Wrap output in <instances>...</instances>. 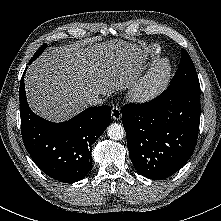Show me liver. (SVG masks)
Returning <instances> with one entry per match:
<instances>
[{
    "mask_svg": "<svg viewBox=\"0 0 221 221\" xmlns=\"http://www.w3.org/2000/svg\"><path fill=\"white\" fill-rule=\"evenodd\" d=\"M145 59L140 47L117 39L51 47L26 72L29 106L49 121L67 120L88 106V97L134 85Z\"/></svg>",
    "mask_w": 221,
    "mask_h": 221,
    "instance_id": "obj_1",
    "label": "liver"
}]
</instances>
